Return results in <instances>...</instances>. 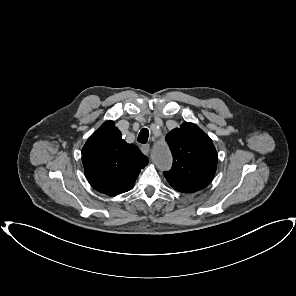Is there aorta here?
I'll return each mask as SVG.
<instances>
[{
	"instance_id": "1",
	"label": "aorta",
	"mask_w": 296,
	"mask_h": 296,
	"mask_svg": "<svg viewBox=\"0 0 296 296\" xmlns=\"http://www.w3.org/2000/svg\"><path fill=\"white\" fill-rule=\"evenodd\" d=\"M170 155L164 146H160L156 151V163L159 168L166 169L170 165Z\"/></svg>"
}]
</instances>
